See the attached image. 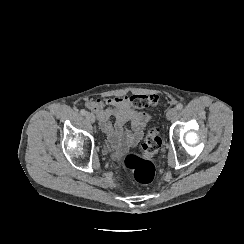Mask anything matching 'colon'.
<instances>
[{"label":"colon","mask_w":244,"mask_h":244,"mask_svg":"<svg viewBox=\"0 0 244 244\" xmlns=\"http://www.w3.org/2000/svg\"><path fill=\"white\" fill-rule=\"evenodd\" d=\"M160 102L161 97L158 94L133 95L130 98V104L135 109L156 107ZM161 145L160 129L154 125L146 131L142 145L143 155H136L132 151L127 153L123 164L126 168L135 171L138 182L148 184L153 180L155 168L150 158L159 150Z\"/></svg>","instance_id":"1"}]
</instances>
